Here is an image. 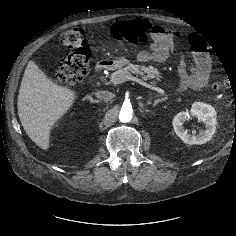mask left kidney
<instances>
[{
  "label": "left kidney",
  "mask_w": 236,
  "mask_h": 236,
  "mask_svg": "<svg viewBox=\"0 0 236 236\" xmlns=\"http://www.w3.org/2000/svg\"><path fill=\"white\" fill-rule=\"evenodd\" d=\"M216 111L215 109L203 102H194L190 113L179 112L173 118L172 125L176 135L186 144H204L211 140L216 131ZM190 116L197 117L205 123V130L199 132L198 135L189 134L183 124L190 119Z\"/></svg>",
  "instance_id": "1"
}]
</instances>
